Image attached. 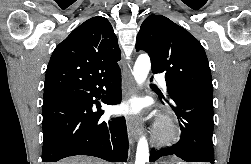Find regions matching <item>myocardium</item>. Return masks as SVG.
<instances>
[{
	"label": "myocardium",
	"mask_w": 251,
	"mask_h": 164,
	"mask_svg": "<svg viewBox=\"0 0 251 164\" xmlns=\"http://www.w3.org/2000/svg\"><path fill=\"white\" fill-rule=\"evenodd\" d=\"M179 130L175 121L169 116H162L154 132V141L161 146L171 145L177 141Z\"/></svg>",
	"instance_id": "obj_1"
}]
</instances>
